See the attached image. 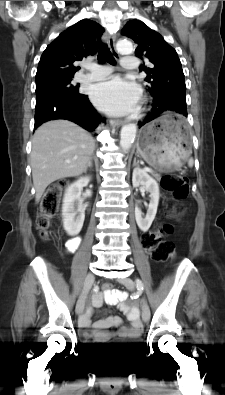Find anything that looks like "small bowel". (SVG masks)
Listing matches in <instances>:
<instances>
[{
	"instance_id": "obj_1",
	"label": "small bowel",
	"mask_w": 225,
	"mask_h": 395,
	"mask_svg": "<svg viewBox=\"0 0 225 395\" xmlns=\"http://www.w3.org/2000/svg\"><path fill=\"white\" fill-rule=\"evenodd\" d=\"M80 243L79 237H73L69 239L66 243V248L69 251H75ZM125 294L119 290H114L111 288L109 292H106L103 289L102 293H97L93 296L92 306L99 307L103 302H106L111 305H118L119 308L126 313L127 318L131 322L130 327L122 328L120 331L121 336L125 337H135L141 332V326L139 323V311L135 307L129 306L125 302ZM93 308L90 307L86 310V312L80 318V326L84 329L92 328V332L82 331L81 336L85 339L93 338L96 341H106L112 335L108 329L112 326H118L121 324V319L116 316H108L104 319H101L95 323H91Z\"/></svg>"
}]
</instances>
